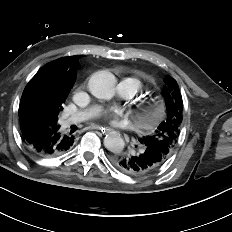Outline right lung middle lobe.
I'll use <instances>...</instances> for the list:
<instances>
[{
  "label": "right lung middle lobe",
  "mask_w": 232,
  "mask_h": 232,
  "mask_svg": "<svg viewBox=\"0 0 232 232\" xmlns=\"http://www.w3.org/2000/svg\"><path fill=\"white\" fill-rule=\"evenodd\" d=\"M65 98L56 94L49 87H41L37 89V96H29L20 101L19 117H26L30 107H37L40 114L46 117L51 125L58 126V114L63 109Z\"/></svg>",
  "instance_id": "dd1d6c3e"
}]
</instances>
